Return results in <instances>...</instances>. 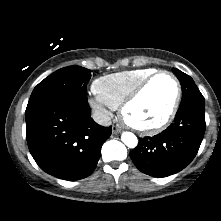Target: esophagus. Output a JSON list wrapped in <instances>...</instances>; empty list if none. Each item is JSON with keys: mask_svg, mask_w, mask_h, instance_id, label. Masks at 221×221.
Segmentation results:
<instances>
[{"mask_svg": "<svg viewBox=\"0 0 221 221\" xmlns=\"http://www.w3.org/2000/svg\"><path fill=\"white\" fill-rule=\"evenodd\" d=\"M112 132L113 134H118V133H121V129L118 126L113 125Z\"/></svg>", "mask_w": 221, "mask_h": 221, "instance_id": "esophagus-1", "label": "esophagus"}]
</instances>
